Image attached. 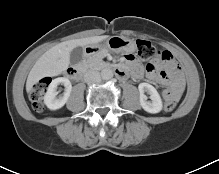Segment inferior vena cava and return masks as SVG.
<instances>
[{
  "label": "inferior vena cava",
  "instance_id": "inferior-vena-cava-1",
  "mask_svg": "<svg viewBox=\"0 0 219 174\" xmlns=\"http://www.w3.org/2000/svg\"><path fill=\"white\" fill-rule=\"evenodd\" d=\"M101 80V75L98 71L89 70L84 75V81L86 83H98Z\"/></svg>",
  "mask_w": 219,
  "mask_h": 174
}]
</instances>
